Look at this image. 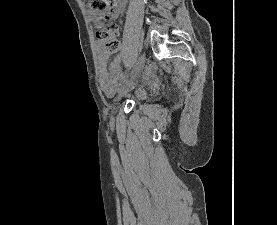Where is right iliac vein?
Returning <instances> with one entry per match:
<instances>
[{
  "label": "right iliac vein",
  "instance_id": "obj_1",
  "mask_svg": "<svg viewBox=\"0 0 277 225\" xmlns=\"http://www.w3.org/2000/svg\"><path fill=\"white\" fill-rule=\"evenodd\" d=\"M144 64H145V57L141 56V58H140V60L137 64V68H136L135 75H134L133 79L128 83V85L126 87H124L122 89V91L119 93L116 101H118L124 94H126L135 85V83L138 79V76H139L141 70L144 67ZM114 109H115V107H114Z\"/></svg>",
  "mask_w": 277,
  "mask_h": 225
}]
</instances>
